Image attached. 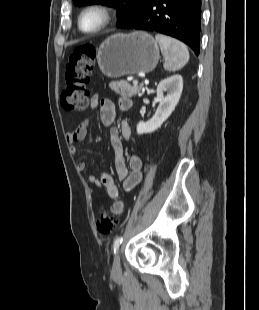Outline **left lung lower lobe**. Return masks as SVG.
I'll return each mask as SVG.
<instances>
[{
	"instance_id": "obj_1",
	"label": "left lung lower lobe",
	"mask_w": 259,
	"mask_h": 310,
	"mask_svg": "<svg viewBox=\"0 0 259 310\" xmlns=\"http://www.w3.org/2000/svg\"><path fill=\"white\" fill-rule=\"evenodd\" d=\"M119 28L157 31L186 43L200 52L201 0H151Z\"/></svg>"
}]
</instances>
